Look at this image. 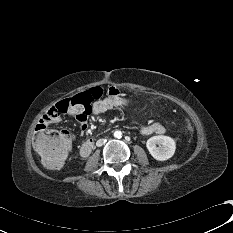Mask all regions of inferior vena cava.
Returning a JSON list of instances; mask_svg holds the SVG:
<instances>
[{
	"mask_svg": "<svg viewBox=\"0 0 233 233\" xmlns=\"http://www.w3.org/2000/svg\"><path fill=\"white\" fill-rule=\"evenodd\" d=\"M104 144V140L103 139H99L97 142H96V145L98 147L102 146Z\"/></svg>",
	"mask_w": 233,
	"mask_h": 233,
	"instance_id": "602c4592",
	"label": "inferior vena cava"
}]
</instances>
